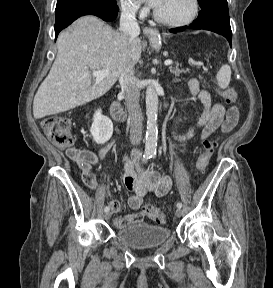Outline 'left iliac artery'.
I'll list each match as a JSON object with an SVG mask.
<instances>
[{"label": "left iliac artery", "instance_id": "44dca946", "mask_svg": "<svg viewBox=\"0 0 273 288\" xmlns=\"http://www.w3.org/2000/svg\"><path fill=\"white\" fill-rule=\"evenodd\" d=\"M153 156H154V155H153ZM177 207H178V208H182V203H181V202H178V203H177Z\"/></svg>", "mask_w": 273, "mask_h": 288}]
</instances>
